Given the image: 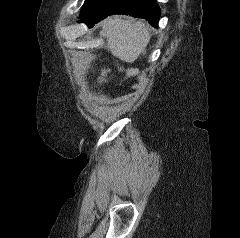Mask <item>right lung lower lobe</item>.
<instances>
[{"instance_id": "obj_1", "label": "right lung lower lobe", "mask_w": 240, "mask_h": 238, "mask_svg": "<svg viewBox=\"0 0 240 238\" xmlns=\"http://www.w3.org/2000/svg\"><path fill=\"white\" fill-rule=\"evenodd\" d=\"M113 14H124L144 18L148 20L152 26H158L160 19V9L156 0H123L119 6L108 15ZM108 15H105L100 20Z\"/></svg>"}]
</instances>
